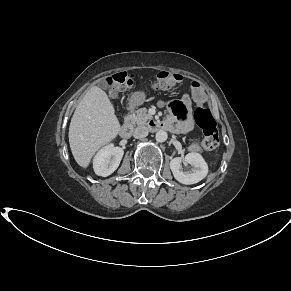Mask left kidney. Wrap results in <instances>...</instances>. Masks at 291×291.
Wrapping results in <instances>:
<instances>
[{
  "label": "left kidney",
  "instance_id": "1",
  "mask_svg": "<svg viewBox=\"0 0 291 291\" xmlns=\"http://www.w3.org/2000/svg\"><path fill=\"white\" fill-rule=\"evenodd\" d=\"M182 162L192 166L189 170H183ZM170 169L174 178L186 185L195 184L204 179L208 173V165L199 153H188L184 159L176 157L170 161Z\"/></svg>",
  "mask_w": 291,
  "mask_h": 291
}]
</instances>
